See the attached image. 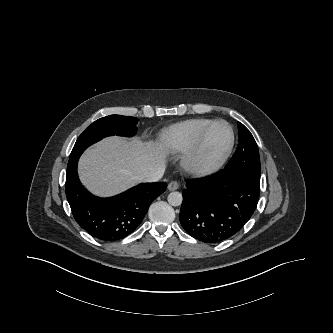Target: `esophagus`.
Returning <instances> with one entry per match:
<instances>
[{
	"label": "esophagus",
	"mask_w": 333,
	"mask_h": 333,
	"mask_svg": "<svg viewBox=\"0 0 333 333\" xmlns=\"http://www.w3.org/2000/svg\"><path fill=\"white\" fill-rule=\"evenodd\" d=\"M179 188V183L177 181H171L169 184H168V190L170 191H175Z\"/></svg>",
	"instance_id": "obj_1"
}]
</instances>
